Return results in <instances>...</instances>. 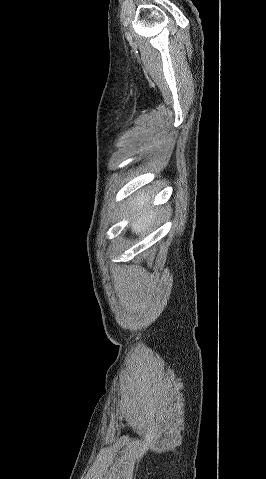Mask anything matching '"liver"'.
I'll use <instances>...</instances> for the list:
<instances>
[{"mask_svg": "<svg viewBox=\"0 0 266 479\" xmlns=\"http://www.w3.org/2000/svg\"><path fill=\"white\" fill-rule=\"evenodd\" d=\"M150 201L151 197L146 194H141L131 201L130 215L134 216L130 223L132 233H143L155 223L158 211L149 207Z\"/></svg>", "mask_w": 266, "mask_h": 479, "instance_id": "1", "label": "liver"}]
</instances>
